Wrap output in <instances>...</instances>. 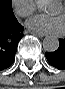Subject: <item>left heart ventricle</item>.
<instances>
[{
	"instance_id": "b2bd125f",
	"label": "left heart ventricle",
	"mask_w": 65,
	"mask_h": 89,
	"mask_svg": "<svg viewBox=\"0 0 65 89\" xmlns=\"http://www.w3.org/2000/svg\"><path fill=\"white\" fill-rule=\"evenodd\" d=\"M52 13L57 14V15H61L62 17L64 16L63 8L60 4L57 5V7L53 10Z\"/></svg>"
}]
</instances>
